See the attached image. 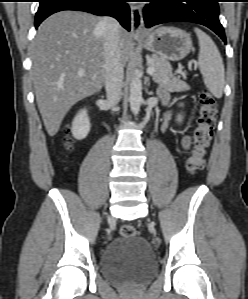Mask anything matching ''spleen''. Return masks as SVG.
Returning a JSON list of instances; mask_svg holds the SVG:
<instances>
[{
	"mask_svg": "<svg viewBox=\"0 0 248 299\" xmlns=\"http://www.w3.org/2000/svg\"><path fill=\"white\" fill-rule=\"evenodd\" d=\"M199 40L198 65L207 89L221 98L225 85L224 64L213 40L202 30L194 29Z\"/></svg>",
	"mask_w": 248,
	"mask_h": 299,
	"instance_id": "3e777b00",
	"label": "spleen"
}]
</instances>
